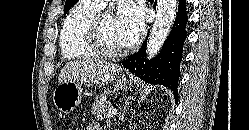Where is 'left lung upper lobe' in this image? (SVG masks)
Instances as JSON below:
<instances>
[{"mask_svg":"<svg viewBox=\"0 0 249 130\" xmlns=\"http://www.w3.org/2000/svg\"><path fill=\"white\" fill-rule=\"evenodd\" d=\"M77 1L78 0H66L64 12H68L77 3Z\"/></svg>","mask_w":249,"mask_h":130,"instance_id":"1","label":"left lung upper lobe"}]
</instances>
